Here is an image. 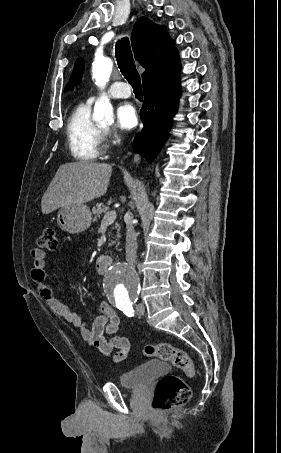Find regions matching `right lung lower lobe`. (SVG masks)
<instances>
[{
  "label": "right lung lower lobe",
  "mask_w": 281,
  "mask_h": 453,
  "mask_svg": "<svg viewBox=\"0 0 281 453\" xmlns=\"http://www.w3.org/2000/svg\"><path fill=\"white\" fill-rule=\"evenodd\" d=\"M179 76L180 60L176 53L142 78L145 99L140 117L144 128L136 135L133 149L149 161L168 139L181 91Z\"/></svg>",
  "instance_id": "right-lung-lower-lobe-1"
}]
</instances>
